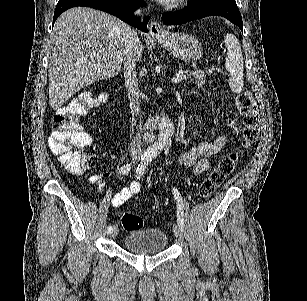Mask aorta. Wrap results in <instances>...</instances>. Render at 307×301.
Returning <instances> with one entry per match:
<instances>
[{
	"label": "aorta",
	"mask_w": 307,
	"mask_h": 301,
	"mask_svg": "<svg viewBox=\"0 0 307 301\" xmlns=\"http://www.w3.org/2000/svg\"><path fill=\"white\" fill-rule=\"evenodd\" d=\"M159 134L156 142L150 146L149 151L152 153H159L164 148L167 140H170L172 134H174V124L169 118H160L158 122Z\"/></svg>",
	"instance_id": "762f6f07"
}]
</instances>
